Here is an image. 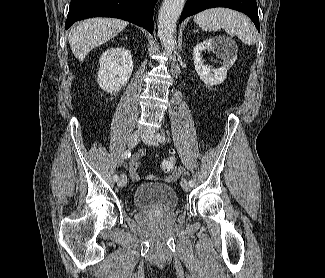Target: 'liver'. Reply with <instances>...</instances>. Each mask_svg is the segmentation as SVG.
<instances>
[{"label":"liver","mask_w":325,"mask_h":278,"mask_svg":"<svg viewBox=\"0 0 325 278\" xmlns=\"http://www.w3.org/2000/svg\"><path fill=\"white\" fill-rule=\"evenodd\" d=\"M128 22L115 18L86 19L70 29L68 41L74 56L83 61L94 48L121 32Z\"/></svg>","instance_id":"liver-1"}]
</instances>
